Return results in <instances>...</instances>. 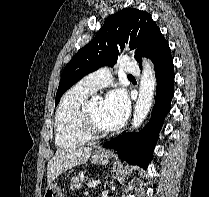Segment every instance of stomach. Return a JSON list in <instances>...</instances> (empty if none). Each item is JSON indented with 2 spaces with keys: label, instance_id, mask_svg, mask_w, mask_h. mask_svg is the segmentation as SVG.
<instances>
[{
  "label": "stomach",
  "instance_id": "stomach-1",
  "mask_svg": "<svg viewBox=\"0 0 209 197\" xmlns=\"http://www.w3.org/2000/svg\"><path fill=\"white\" fill-rule=\"evenodd\" d=\"M109 153L106 151H96L92 155V162L95 164L107 165L109 163ZM44 197H64L57 184L47 186Z\"/></svg>",
  "mask_w": 209,
  "mask_h": 197
}]
</instances>
